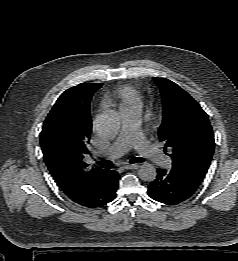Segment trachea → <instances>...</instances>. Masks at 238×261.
<instances>
[{
  "instance_id": "1",
  "label": "trachea",
  "mask_w": 238,
  "mask_h": 261,
  "mask_svg": "<svg viewBox=\"0 0 238 261\" xmlns=\"http://www.w3.org/2000/svg\"><path fill=\"white\" fill-rule=\"evenodd\" d=\"M144 161H145V159H143L142 157H135V158H132L129 162L131 164H134V163H142ZM97 164L100 167L106 168V169L113 167V163L111 161H108V160L99 161V162H97Z\"/></svg>"
}]
</instances>
